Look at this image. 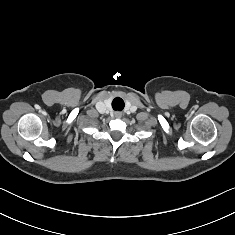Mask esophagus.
Masks as SVG:
<instances>
[{"label": "esophagus", "instance_id": "34e87169", "mask_svg": "<svg viewBox=\"0 0 235 235\" xmlns=\"http://www.w3.org/2000/svg\"><path fill=\"white\" fill-rule=\"evenodd\" d=\"M122 114L120 112H115V117L116 118H121Z\"/></svg>", "mask_w": 235, "mask_h": 235}]
</instances>
